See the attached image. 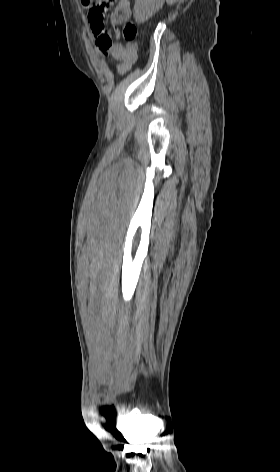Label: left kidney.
Returning <instances> with one entry per match:
<instances>
[{
    "instance_id": "5707ae66",
    "label": "left kidney",
    "mask_w": 280,
    "mask_h": 472,
    "mask_svg": "<svg viewBox=\"0 0 280 472\" xmlns=\"http://www.w3.org/2000/svg\"><path fill=\"white\" fill-rule=\"evenodd\" d=\"M160 7V0H136L134 5V18L136 22H145L152 17Z\"/></svg>"
}]
</instances>
